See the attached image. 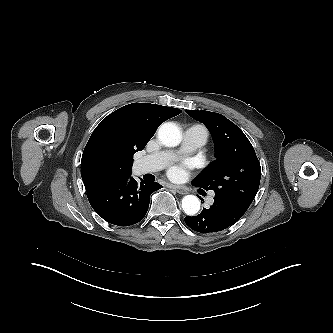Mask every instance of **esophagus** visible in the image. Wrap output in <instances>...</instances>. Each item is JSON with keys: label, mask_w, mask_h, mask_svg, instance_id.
<instances>
[{"label": "esophagus", "mask_w": 333, "mask_h": 333, "mask_svg": "<svg viewBox=\"0 0 333 333\" xmlns=\"http://www.w3.org/2000/svg\"><path fill=\"white\" fill-rule=\"evenodd\" d=\"M168 187L171 188V189H174L179 194H182V195L187 194V190H185L182 187L172 185V184H169Z\"/></svg>", "instance_id": "esophagus-1"}]
</instances>
